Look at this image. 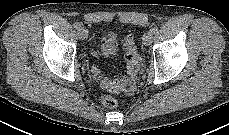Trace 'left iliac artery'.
Here are the masks:
<instances>
[{
  "label": "left iliac artery",
  "instance_id": "44dca946",
  "mask_svg": "<svg viewBox=\"0 0 229 135\" xmlns=\"http://www.w3.org/2000/svg\"><path fill=\"white\" fill-rule=\"evenodd\" d=\"M150 32H151L152 34L157 33V32H158V27L155 26V27L151 28V29H150Z\"/></svg>",
  "mask_w": 229,
  "mask_h": 135
}]
</instances>
